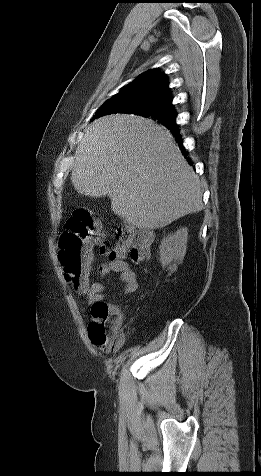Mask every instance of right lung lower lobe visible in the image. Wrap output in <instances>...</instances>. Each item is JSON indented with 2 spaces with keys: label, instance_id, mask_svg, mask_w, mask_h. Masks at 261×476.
Here are the masks:
<instances>
[{
  "label": "right lung lower lobe",
  "instance_id": "98d812e1",
  "mask_svg": "<svg viewBox=\"0 0 261 476\" xmlns=\"http://www.w3.org/2000/svg\"><path fill=\"white\" fill-rule=\"evenodd\" d=\"M169 130L172 131V134L178 139L179 141V147L182 151V153L184 154L185 157H187V153L185 151V148L183 147V142L181 141V138H180V135H179V130H178V127L176 125V122L175 123H172V124H164Z\"/></svg>",
  "mask_w": 261,
  "mask_h": 476
}]
</instances>
